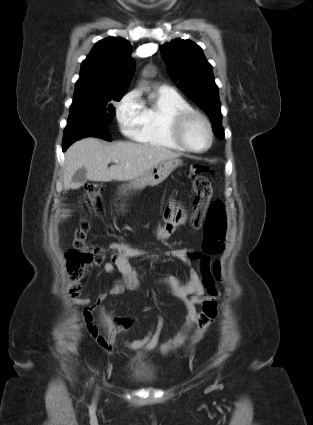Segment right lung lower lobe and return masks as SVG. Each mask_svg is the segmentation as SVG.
<instances>
[{
  "label": "right lung lower lobe",
  "instance_id": "right-lung-lower-lobe-1",
  "mask_svg": "<svg viewBox=\"0 0 313 425\" xmlns=\"http://www.w3.org/2000/svg\"><path fill=\"white\" fill-rule=\"evenodd\" d=\"M90 136L103 138L107 141L111 140L106 130L105 123L88 116L77 117L73 124L68 125L67 123L64 131L63 151L74 141Z\"/></svg>",
  "mask_w": 313,
  "mask_h": 425
}]
</instances>
